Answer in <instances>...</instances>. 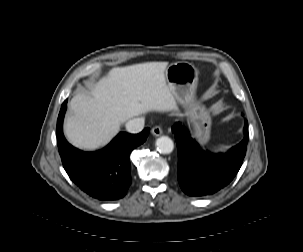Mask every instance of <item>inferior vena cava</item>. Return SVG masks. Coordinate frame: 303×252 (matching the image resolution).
<instances>
[{"label": "inferior vena cava", "mask_w": 303, "mask_h": 252, "mask_svg": "<svg viewBox=\"0 0 303 252\" xmlns=\"http://www.w3.org/2000/svg\"><path fill=\"white\" fill-rule=\"evenodd\" d=\"M126 130L130 133H139L144 128V118H133L126 122Z\"/></svg>", "instance_id": "602c4592"}]
</instances>
